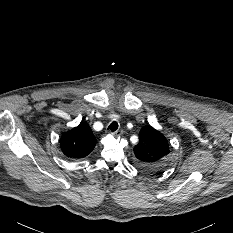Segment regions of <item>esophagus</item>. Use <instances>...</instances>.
I'll list each match as a JSON object with an SVG mask.
<instances>
[{
  "instance_id": "1",
  "label": "esophagus",
  "mask_w": 233,
  "mask_h": 233,
  "mask_svg": "<svg viewBox=\"0 0 233 233\" xmlns=\"http://www.w3.org/2000/svg\"><path fill=\"white\" fill-rule=\"evenodd\" d=\"M113 134H114V136H116V137H121L122 134H123V130H122V129H119V130L115 131Z\"/></svg>"
}]
</instances>
